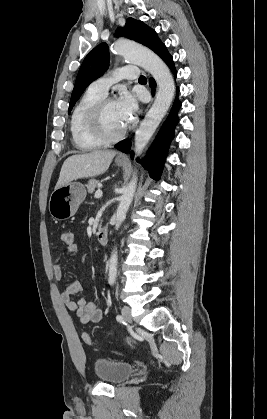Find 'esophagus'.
Listing matches in <instances>:
<instances>
[{"label": "esophagus", "mask_w": 267, "mask_h": 419, "mask_svg": "<svg viewBox=\"0 0 267 419\" xmlns=\"http://www.w3.org/2000/svg\"><path fill=\"white\" fill-rule=\"evenodd\" d=\"M118 158L119 159H126L127 157L125 155L121 154V155L118 156Z\"/></svg>", "instance_id": "esophagus-1"}]
</instances>
